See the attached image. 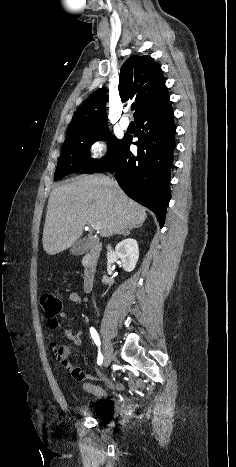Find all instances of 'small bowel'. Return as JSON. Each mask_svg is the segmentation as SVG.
<instances>
[{
    "label": "small bowel",
    "instance_id": "obj_1",
    "mask_svg": "<svg viewBox=\"0 0 236 467\" xmlns=\"http://www.w3.org/2000/svg\"><path fill=\"white\" fill-rule=\"evenodd\" d=\"M69 300L73 304H80L82 302V298L77 291H71L69 294ZM67 314L65 312H60L54 317H47L46 318V325L48 329L51 331L57 330L60 327V319H65ZM65 337L73 346H80L82 343L83 338V331L82 330H64ZM53 354L55 358L62 364L64 370L68 372L73 379L77 381H88L83 385L84 391L91 393L96 397H104L106 395V391L103 390L101 387L94 385L90 381L100 380V378L95 377L93 375L86 374L80 366L75 365L69 361L70 356V347L68 345H57L56 343H52ZM111 385L114 387L115 384L111 382Z\"/></svg>",
    "mask_w": 236,
    "mask_h": 467
}]
</instances>
